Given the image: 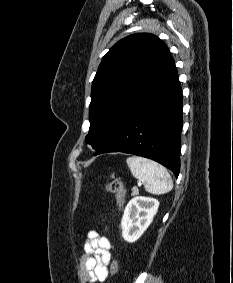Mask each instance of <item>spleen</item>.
<instances>
[{
	"label": "spleen",
	"mask_w": 233,
	"mask_h": 283,
	"mask_svg": "<svg viewBox=\"0 0 233 283\" xmlns=\"http://www.w3.org/2000/svg\"><path fill=\"white\" fill-rule=\"evenodd\" d=\"M131 174L144 183L146 191L151 194H165L172 190L173 180L169 172L152 160L132 156L126 160Z\"/></svg>",
	"instance_id": "obj_1"
}]
</instances>
